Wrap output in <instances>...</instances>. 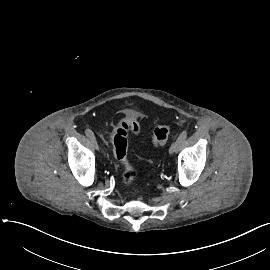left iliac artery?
Segmentation results:
<instances>
[{"label":"left iliac artery","instance_id":"44dca946","mask_svg":"<svg viewBox=\"0 0 270 270\" xmlns=\"http://www.w3.org/2000/svg\"><path fill=\"white\" fill-rule=\"evenodd\" d=\"M187 138V131H183L181 132V134L179 135L177 141H178V148L184 143L185 139Z\"/></svg>","mask_w":270,"mask_h":270}]
</instances>
